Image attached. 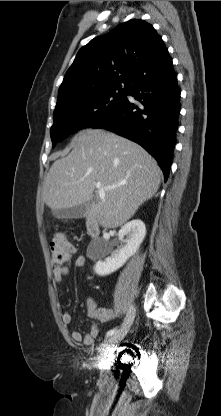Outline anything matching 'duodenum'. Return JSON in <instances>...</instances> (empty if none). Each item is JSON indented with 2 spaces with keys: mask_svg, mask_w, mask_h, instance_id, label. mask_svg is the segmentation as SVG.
Returning <instances> with one entry per match:
<instances>
[{
  "mask_svg": "<svg viewBox=\"0 0 221 416\" xmlns=\"http://www.w3.org/2000/svg\"><path fill=\"white\" fill-rule=\"evenodd\" d=\"M87 232L91 238H96L100 234V226L96 219H89L87 222Z\"/></svg>",
  "mask_w": 221,
  "mask_h": 416,
  "instance_id": "410a0bca",
  "label": "duodenum"
}]
</instances>
